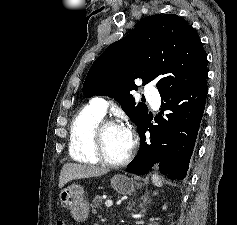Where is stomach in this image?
<instances>
[{
    "mask_svg": "<svg viewBox=\"0 0 237 225\" xmlns=\"http://www.w3.org/2000/svg\"><path fill=\"white\" fill-rule=\"evenodd\" d=\"M111 186L119 194H131L137 182L125 175H115L111 179ZM59 200L63 207L70 210V214L76 220H84L88 216L89 203L86 200L84 189L79 184H72L60 191Z\"/></svg>",
    "mask_w": 237,
    "mask_h": 225,
    "instance_id": "0dacf381",
    "label": "stomach"
}]
</instances>
